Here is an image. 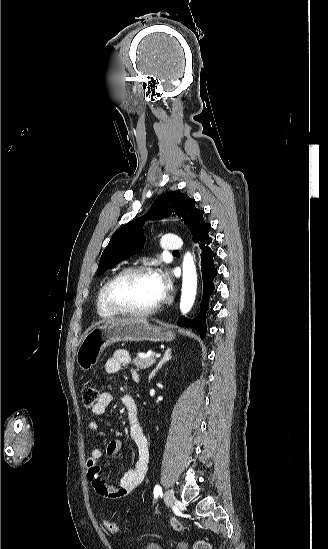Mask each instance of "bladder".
<instances>
[{
    "mask_svg": "<svg viewBox=\"0 0 328 549\" xmlns=\"http://www.w3.org/2000/svg\"><path fill=\"white\" fill-rule=\"evenodd\" d=\"M149 549H163V548L159 545H154V546L150 547Z\"/></svg>",
    "mask_w": 328,
    "mask_h": 549,
    "instance_id": "obj_1",
    "label": "bladder"
}]
</instances>
